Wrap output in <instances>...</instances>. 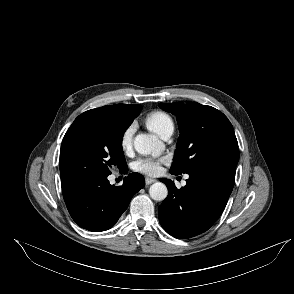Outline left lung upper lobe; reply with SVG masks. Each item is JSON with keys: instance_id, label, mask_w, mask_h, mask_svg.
I'll list each match as a JSON object with an SVG mask.
<instances>
[{"instance_id": "5c2ea615", "label": "left lung upper lobe", "mask_w": 294, "mask_h": 294, "mask_svg": "<svg viewBox=\"0 0 294 294\" xmlns=\"http://www.w3.org/2000/svg\"><path fill=\"white\" fill-rule=\"evenodd\" d=\"M159 107L176 116L180 131L171 174H192L213 158L238 149L233 126L219 110L196 102L160 103Z\"/></svg>"}]
</instances>
